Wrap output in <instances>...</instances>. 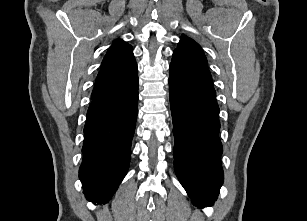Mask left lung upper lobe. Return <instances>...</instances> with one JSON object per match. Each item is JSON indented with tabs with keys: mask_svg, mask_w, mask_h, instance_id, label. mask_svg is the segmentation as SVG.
Listing matches in <instances>:
<instances>
[{
	"mask_svg": "<svg viewBox=\"0 0 307 221\" xmlns=\"http://www.w3.org/2000/svg\"><path fill=\"white\" fill-rule=\"evenodd\" d=\"M174 52L183 55L189 61L200 67L207 74L211 75L207 67L206 57L201 47L191 38L183 35L180 39V42L178 43V47Z\"/></svg>",
	"mask_w": 307,
	"mask_h": 221,
	"instance_id": "1",
	"label": "left lung upper lobe"
}]
</instances>
